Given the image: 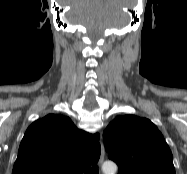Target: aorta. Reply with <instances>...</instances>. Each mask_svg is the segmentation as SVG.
Instances as JSON below:
<instances>
[{
    "instance_id": "obj_1",
    "label": "aorta",
    "mask_w": 187,
    "mask_h": 174,
    "mask_svg": "<svg viewBox=\"0 0 187 174\" xmlns=\"http://www.w3.org/2000/svg\"><path fill=\"white\" fill-rule=\"evenodd\" d=\"M104 174H115L117 171V166L113 162H105L102 166Z\"/></svg>"
}]
</instances>
